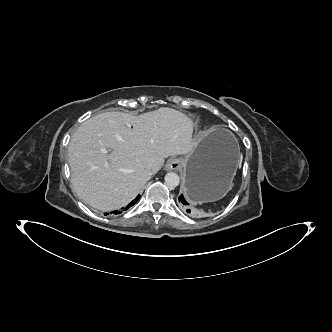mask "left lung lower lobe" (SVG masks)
<instances>
[{
	"mask_svg": "<svg viewBox=\"0 0 332 332\" xmlns=\"http://www.w3.org/2000/svg\"><path fill=\"white\" fill-rule=\"evenodd\" d=\"M179 200H180V205L181 207L187 212V213H192L190 207L188 206V202L185 200V198L183 197V195L179 196Z\"/></svg>",
	"mask_w": 332,
	"mask_h": 332,
	"instance_id": "left-lung-lower-lobe-1",
	"label": "left lung lower lobe"
}]
</instances>
